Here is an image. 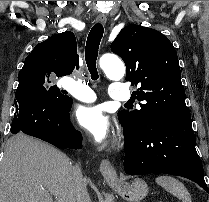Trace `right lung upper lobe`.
<instances>
[{"label":"right lung upper lobe","instance_id":"obj_1","mask_svg":"<svg viewBox=\"0 0 209 202\" xmlns=\"http://www.w3.org/2000/svg\"><path fill=\"white\" fill-rule=\"evenodd\" d=\"M77 44L71 31L55 34L37 44L26 57L19 75L45 74L54 72L58 77L69 75L79 68Z\"/></svg>","mask_w":209,"mask_h":202}]
</instances>
